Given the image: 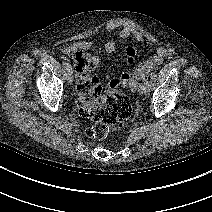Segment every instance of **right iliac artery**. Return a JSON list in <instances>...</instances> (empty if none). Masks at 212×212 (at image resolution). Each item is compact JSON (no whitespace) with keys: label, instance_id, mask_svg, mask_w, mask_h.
I'll return each mask as SVG.
<instances>
[{"label":"right iliac artery","instance_id":"right-iliac-artery-1","mask_svg":"<svg viewBox=\"0 0 212 212\" xmlns=\"http://www.w3.org/2000/svg\"><path fill=\"white\" fill-rule=\"evenodd\" d=\"M63 66L66 70H70L71 69V66L68 62H63Z\"/></svg>","mask_w":212,"mask_h":212}]
</instances>
